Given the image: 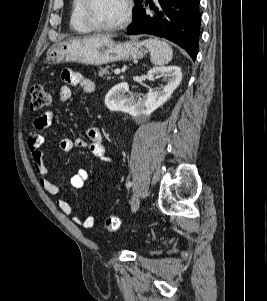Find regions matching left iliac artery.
<instances>
[{"instance_id": "obj_1", "label": "left iliac artery", "mask_w": 267, "mask_h": 301, "mask_svg": "<svg viewBox=\"0 0 267 301\" xmlns=\"http://www.w3.org/2000/svg\"><path fill=\"white\" fill-rule=\"evenodd\" d=\"M132 186V182L131 181H128L127 183H126V187L127 188H130Z\"/></svg>"}]
</instances>
